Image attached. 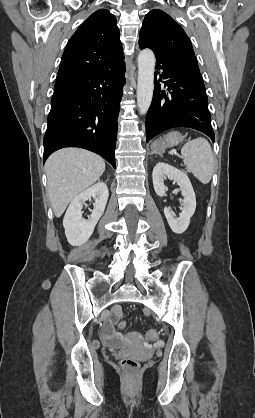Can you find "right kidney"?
Segmentation results:
<instances>
[{
	"label": "right kidney",
	"instance_id": "obj_1",
	"mask_svg": "<svg viewBox=\"0 0 255 418\" xmlns=\"http://www.w3.org/2000/svg\"><path fill=\"white\" fill-rule=\"evenodd\" d=\"M108 196L107 185L104 182H98L71 201L63 219L65 235L71 245L79 246L88 241L105 210ZM91 197L95 199L94 209L86 220L82 217V205Z\"/></svg>",
	"mask_w": 255,
	"mask_h": 418
}]
</instances>
